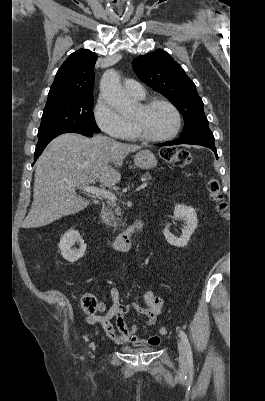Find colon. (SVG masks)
<instances>
[{
	"mask_svg": "<svg viewBox=\"0 0 265 401\" xmlns=\"http://www.w3.org/2000/svg\"><path fill=\"white\" fill-rule=\"evenodd\" d=\"M160 154L166 162L177 167H184L191 162V156L185 150L167 147L163 148ZM207 190L216 208L220 212L224 213L227 209V204L221 193L219 181L214 177L210 178L207 182ZM81 307L86 314L93 315L100 310L101 304L98 303L97 299L93 295H85L81 299ZM159 333L161 335H166L168 333V329L161 327Z\"/></svg>",
	"mask_w": 265,
	"mask_h": 401,
	"instance_id": "1",
	"label": "colon"
}]
</instances>
